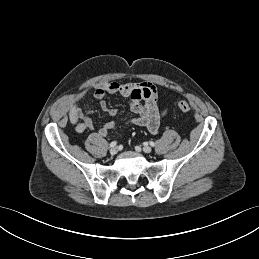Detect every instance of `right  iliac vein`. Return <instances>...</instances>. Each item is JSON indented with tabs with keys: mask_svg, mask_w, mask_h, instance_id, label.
<instances>
[{
	"mask_svg": "<svg viewBox=\"0 0 259 259\" xmlns=\"http://www.w3.org/2000/svg\"><path fill=\"white\" fill-rule=\"evenodd\" d=\"M117 152H118V148L117 147H113V148L110 149V154L111 155H116Z\"/></svg>",
	"mask_w": 259,
	"mask_h": 259,
	"instance_id": "63e3f726",
	"label": "right iliac vein"
}]
</instances>
